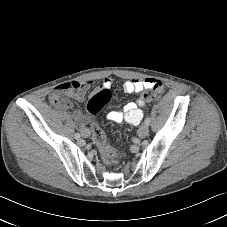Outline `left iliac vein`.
<instances>
[{"label":"left iliac vein","mask_w":227,"mask_h":227,"mask_svg":"<svg viewBox=\"0 0 227 227\" xmlns=\"http://www.w3.org/2000/svg\"><path fill=\"white\" fill-rule=\"evenodd\" d=\"M149 133L148 125L143 124L138 130V136L140 138H145Z\"/></svg>","instance_id":"4c4485c4"}]
</instances>
